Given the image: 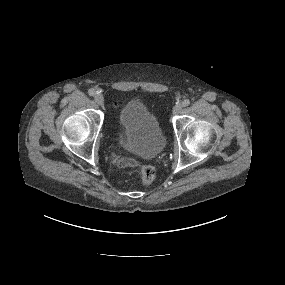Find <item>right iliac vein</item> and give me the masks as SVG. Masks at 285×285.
<instances>
[{
  "label": "right iliac vein",
  "instance_id": "63e3f726",
  "mask_svg": "<svg viewBox=\"0 0 285 285\" xmlns=\"http://www.w3.org/2000/svg\"><path fill=\"white\" fill-rule=\"evenodd\" d=\"M94 100L100 106L103 105V103H104V97L101 94L96 95L94 97Z\"/></svg>",
  "mask_w": 285,
  "mask_h": 285
}]
</instances>
